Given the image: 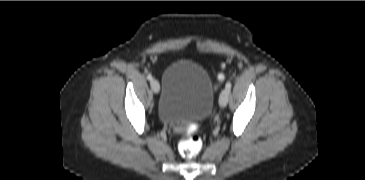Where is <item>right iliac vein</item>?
I'll return each instance as SVG.
<instances>
[{
	"label": "right iliac vein",
	"mask_w": 365,
	"mask_h": 180,
	"mask_svg": "<svg viewBox=\"0 0 365 180\" xmlns=\"http://www.w3.org/2000/svg\"><path fill=\"white\" fill-rule=\"evenodd\" d=\"M151 88L154 91V93H159L160 91L159 82L155 79L151 80Z\"/></svg>",
	"instance_id": "1"
}]
</instances>
